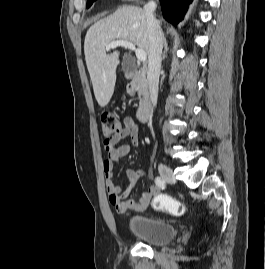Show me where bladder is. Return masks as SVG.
Instances as JSON below:
<instances>
[{
	"label": "bladder",
	"mask_w": 265,
	"mask_h": 269,
	"mask_svg": "<svg viewBox=\"0 0 265 269\" xmlns=\"http://www.w3.org/2000/svg\"><path fill=\"white\" fill-rule=\"evenodd\" d=\"M128 230L142 242L155 246L165 245L176 236V229L172 224L146 216L130 217Z\"/></svg>",
	"instance_id": "1"
}]
</instances>
